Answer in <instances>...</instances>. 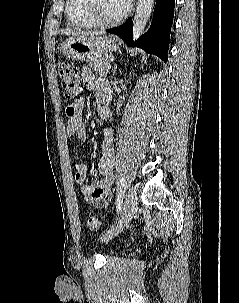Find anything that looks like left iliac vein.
I'll use <instances>...</instances> for the list:
<instances>
[{
    "label": "left iliac vein",
    "mask_w": 239,
    "mask_h": 303,
    "mask_svg": "<svg viewBox=\"0 0 239 303\" xmlns=\"http://www.w3.org/2000/svg\"><path fill=\"white\" fill-rule=\"evenodd\" d=\"M137 209V193L134 187H130L127 192L124 212L121 218L114 224L111 229H109L102 237V240H109L119 234L121 230L128 224L131 220L133 214Z\"/></svg>",
    "instance_id": "left-iliac-vein-1"
}]
</instances>
